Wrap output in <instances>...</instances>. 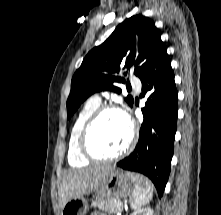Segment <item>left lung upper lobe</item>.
Wrapping results in <instances>:
<instances>
[{"instance_id":"5c2ea615","label":"left lung upper lobe","mask_w":221,"mask_h":215,"mask_svg":"<svg viewBox=\"0 0 221 215\" xmlns=\"http://www.w3.org/2000/svg\"><path fill=\"white\" fill-rule=\"evenodd\" d=\"M163 47L161 33L150 18L134 15L119 24L105 42L89 51L74 73L67 100L68 119L91 94L103 90L120 93L115 84L125 83L121 70H134L140 78ZM125 100L132 106L131 96Z\"/></svg>"}]
</instances>
